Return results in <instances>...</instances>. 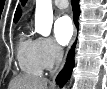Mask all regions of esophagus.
Returning a JSON list of instances; mask_svg holds the SVG:
<instances>
[{"instance_id": "1", "label": "esophagus", "mask_w": 107, "mask_h": 89, "mask_svg": "<svg viewBox=\"0 0 107 89\" xmlns=\"http://www.w3.org/2000/svg\"><path fill=\"white\" fill-rule=\"evenodd\" d=\"M75 37H76V31H75V34H74V39H75ZM74 39H73V41H74ZM63 65H64V63H63ZM63 65H62V67H63Z\"/></svg>"}]
</instances>
